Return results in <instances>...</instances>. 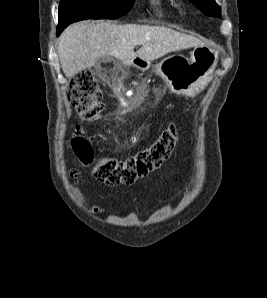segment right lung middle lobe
<instances>
[{
  "label": "right lung middle lobe",
  "mask_w": 267,
  "mask_h": 298,
  "mask_svg": "<svg viewBox=\"0 0 267 298\" xmlns=\"http://www.w3.org/2000/svg\"><path fill=\"white\" fill-rule=\"evenodd\" d=\"M135 0H61L59 26L84 19H116L125 15Z\"/></svg>",
  "instance_id": "right-lung-middle-lobe-1"
}]
</instances>
